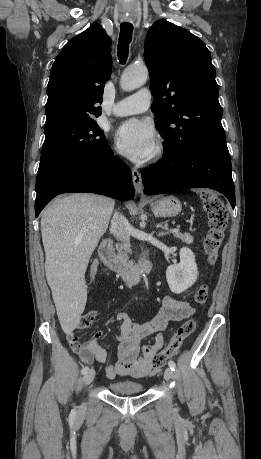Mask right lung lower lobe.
<instances>
[{"instance_id":"98d812e1","label":"right lung lower lobe","mask_w":261,"mask_h":459,"mask_svg":"<svg viewBox=\"0 0 261 459\" xmlns=\"http://www.w3.org/2000/svg\"><path fill=\"white\" fill-rule=\"evenodd\" d=\"M66 192H90L119 200L134 198L129 167L113 156L109 148L105 157L63 165L36 181L35 215L56 195Z\"/></svg>"}]
</instances>
